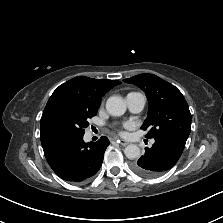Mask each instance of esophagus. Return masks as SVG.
<instances>
[{"label": "esophagus", "mask_w": 223, "mask_h": 223, "mask_svg": "<svg viewBox=\"0 0 223 223\" xmlns=\"http://www.w3.org/2000/svg\"><path fill=\"white\" fill-rule=\"evenodd\" d=\"M114 141H116L117 143H119L120 145H122V146H126V145H128L129 143L127 142V141H125V140H122V139H120V138H114L113 139Z\"/></svg>", "instance_id": "obj_1"}]
</instances>
